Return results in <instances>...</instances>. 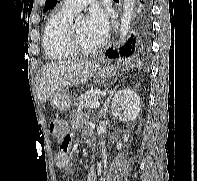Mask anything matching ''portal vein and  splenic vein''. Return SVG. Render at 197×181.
<instances>
[{"mask_svg":"<svg viewBox=\"0 0 197 181\" xmlns=\"http://www.w3.org/2000/svg\"><path fill=\"white\" fill-rule=\"evenodd\" d=\"M100 106V102L99 101H95L93 102L91 105H90V108L93 109V108H97Z\"/></svg>","mask_w":197,"mask_h":181,"instance_id":"18ae733b","label":"portal vein and splenic vein"}]
</instances>
